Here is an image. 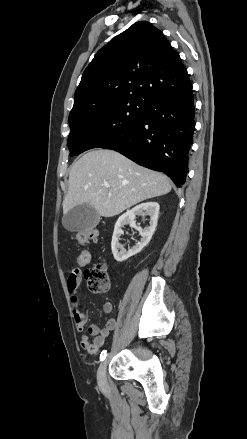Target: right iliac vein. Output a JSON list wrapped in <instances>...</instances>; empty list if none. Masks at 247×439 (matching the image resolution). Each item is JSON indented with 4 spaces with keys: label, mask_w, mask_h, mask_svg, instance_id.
I'll return each instance as SVG.
<instances>
[{
    "label": "right iliac vein",
    "mask_w": 247,
    "mask_h": 439,
    "mask_svg": "<svg viewBox=\"0 0 247 439\" xmlns=\"http://www.w3.org/2000/svg\"><path fill=\"white\" fill-rule=\"evenodd\" d=\"M106 368L107 359L100 364L97 371V381L100 387H104L106 385Z\"/></svg>",
    "instance_id": "obj_1"
}]
</instances>
